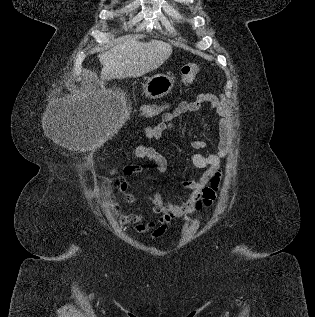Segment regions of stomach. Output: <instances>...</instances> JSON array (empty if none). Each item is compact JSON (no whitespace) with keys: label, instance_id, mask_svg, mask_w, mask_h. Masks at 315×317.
<instances>
[{"label":"stomach","instance_id":"obj_1","mask_svg":"<svg viewBox=\"0 0 315 317\" xmlns=\"http://www.w3.org/2000/svg\"><path fill=\"white\" fill-rule=\"evenodd\" d=\"M174 87V76L170 73L155 74L148 77L143 84V92L151 99L166 96Z\"/></svg>","mask_w":315,"mask_h":317}]
</instances>
